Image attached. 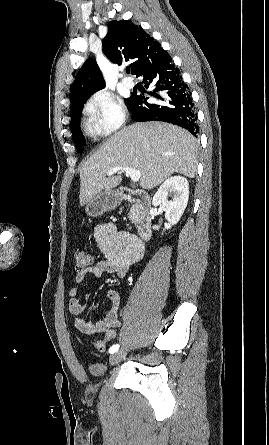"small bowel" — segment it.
I'll use <instances>...</instances> for the list:
<instances>
[{
    "label": "small bowel",
    "instance_id": "obj_1",
    "mask_svg": "<svg viewBox=\"0 0 269 445\" xmlns=\"http://www.w3.org/2000/svg\"><path fill=\"white\" fill-rule=\"evenodd\" d=\"M94 239L103 254V259L75 275V283L81 284L88 276L98 280L104 273L124 277L129 268L140 261L144 255V245L135 235L118 230L112 223L98 225L94 229ZM112 308L102 321L87 320L84 314L87 310V295H81L78 287L69 291L68 308L73 316L74 326L84 335L106 333V340L114 337V328L120 324L121 296L117 290L106 292ZM95 346V343H91Z\"/></svg>",
    "mask_w": 269,
    "mask_h": 445
}]
</instances>
